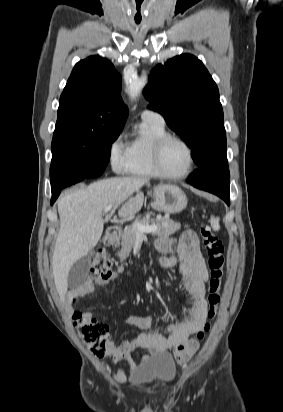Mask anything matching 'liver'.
Returning <instances> with one entry per match:
<instances>
[{
  "label": "liver",
  "instance_id": "1",
  "mask_svg": "<svg viewBox=\"0 0 283 412\" xmlns=\"http://www.w3.org/2000/svg\"><path fill=\"white\" fill-rule=\"evenodd\" d=\"M148 182L141 177H118L92 183L63 196L58 202L60 228L53 253L54 282L61 299L68 288V274L72 265L87 255L98 243L104 223L105 207L118 208L120 217H129L140 211L144 196L141 187ZM137 193L133 197L134 193Z\"/></svg>",
  "mask_w": 283,
  "mask_h": 412
}]
</instances>
